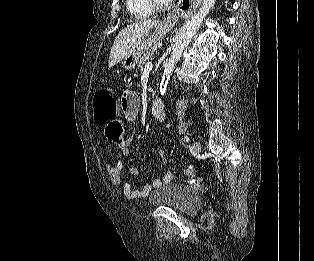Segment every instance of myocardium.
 <instances>
[{
    "mask_svg": "<svg viewBox=\"0 0 314 261\" xmlns=\"http://www.w3.org/2000/svg\"><path fill=\"white\" fill-rule=\"evenodd\" d=\"M148 2L155 11H166L172 5V1L148 0Z\"/></svg>",
    "mask_w": 314,
    "mask_h": 261,
    "instance_id": "f54148a6",
    "label": "myocardium"
}]
</instances>
